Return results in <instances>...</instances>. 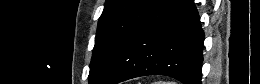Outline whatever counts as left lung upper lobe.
<instances>
[{"instance_id": "5c2ea615", "label": "left lung upper lobe", "mask_w": 260, "mask_h": 84, "mask_svg": "<svg viewBox=\"0 0 260 84\" xmlns=\"http://www.w3.org/2000/svg\"><path fill=\"white\" fill-rule=\"evenodd\" d=\"M158 0H106L98 22L89 84H102Z\"/></svg>"}]
</instances>
